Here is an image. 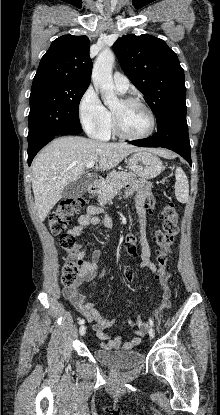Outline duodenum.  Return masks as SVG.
I'll return each mask as SVG.
<instances>
[{"label": "duodenum", "instance_id": "410a0bca", "mask_svg": "<svg viewBox=\"0 0 220 415\" xmlns=\"http://www.w3.org/2000/svg\"><path fill=\"white\" fill-rule=\"evenodd\" d=\"M87 191L89 194H94V192L96 191V183L94 181L91 180L88 183Z\"/></svg>", "mask_w": 220, "mask_h": 415}]
</instances>
